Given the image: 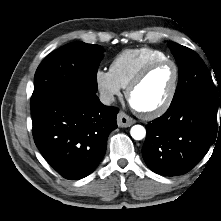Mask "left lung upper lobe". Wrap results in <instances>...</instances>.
<instances>
[{
	"label": "left lung upper lobe",
	"instance_id": "obj_1",
	"mask_svg": "<svg viewBox=\"0 0 221 221\" xmlns=\"http://www.w3.org/2000/svg\"><path fill=\"white\" fill-rule=\"evenodd\" d=\"M168 47L179 67V80L172 103L187 97H198L217 106L219 96L203 60L193 50L177 43L169 42ZM219 95L221 104V93Z\"/></svg>",
	"mask_w": 221,
	"mask_h": 221
}]
</instances>
